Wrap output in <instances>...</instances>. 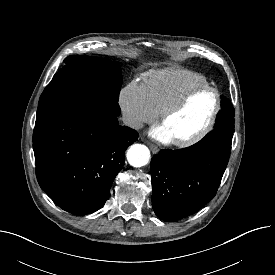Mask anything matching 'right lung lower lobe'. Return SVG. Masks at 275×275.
Here are the masks:
<instances>
[{"label":"right lung lower lobe","mask_w":275,"mask_h":275,"mask_svg":"<svg viewBox=\"0 0 275 275\" xmlns=\"http://www.w3.org/2000/svg\"><path fill=\"white\" fill-rule=\"evenodd\" d=\"M137 138L102 109L76 106L57 113L34 128L38 183L63 210L91 214L104 206L125 151Z\"/></svg>","instance_id":"98d812e1"}]
</instances>
